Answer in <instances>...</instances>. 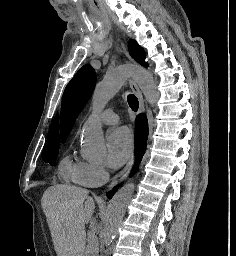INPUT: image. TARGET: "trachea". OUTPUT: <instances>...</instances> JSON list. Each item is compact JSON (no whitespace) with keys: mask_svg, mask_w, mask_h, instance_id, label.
<instances>
[{"mask_svg":"<svg viewBox=\"0 0 236 256\" xmlns=\"http://www.w3.org/2000/svg\"><path fill=\"white\" fill-rule=\"evenodd\" d=\"M127 101H128V104H129L130 108H132L133 111L138 110L139 101H138V98H136L135 95H128L127 96Z\"/></svg>","mask_w":236,"mask_h":256,"instance_id":"1","label":"trachea"}]
</instances>
